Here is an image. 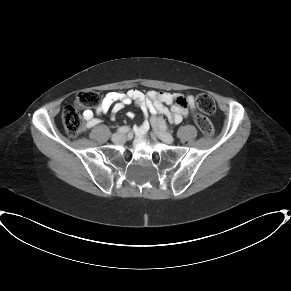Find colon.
<instances>
[{"mask_svg":"<svg viewBox=\"0 0 291 291\" xmlns=\"http://www.w3.org/2000/svg\"><path fill=\"white\" fill-rule=\"evenodd\" d=\"M101 101L102 95L96 90H83L77 94L74 104L65 107L62 112V124L68 135L74 137L83 130L84 120L80 111L99 108ZM197 105L203 112L208 114L216 110L215 101L209 94H199L197 96ZM196 122L205 136L209 137L213 134V125L206 116L198 114L196 116Z\"/></svg>","mask_w":291,"mask_h":291,"instance_id":"5ec220e1","label":"colon"}]
</instances>
